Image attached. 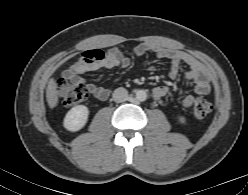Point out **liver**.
Here are the masks:
<instances>
[{
	"mask_svg": "<svg viewBox=\"0 0 248 195\" xmlns=\"http://www.w3.org/2000/svg\"><path fill=\"white\" fill-rule=\"evenodd\" d=\"M46 100H47L48 106L51 109L57 106V103H58L57 84L53 78L49 80L48 85H47Z\"/></svg>",
	"mask_w": 248,
	"mask_h": 195,
	"instance_id": "1",
	"label": "liver"
}]
</instances>
